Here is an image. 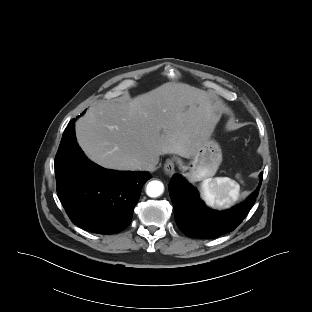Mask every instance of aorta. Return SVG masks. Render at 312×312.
<instances>
[{
	"label": "aorta",
	"mask_w": 312,
	"mask_h": 312,
	"mask_svg": "<svg viewBox=\"0 0 312 312\" xmlns=\"http://www.w3.org/2000/svg\"><path fill=\"white\" fill-rule=\"evenodd\" d=\"M164 191V185L161 181L153 180L147 184L146 193L149 197H158Z\"/></svg>",
	"instance_id": "aorta-1"
}]
</instances>
